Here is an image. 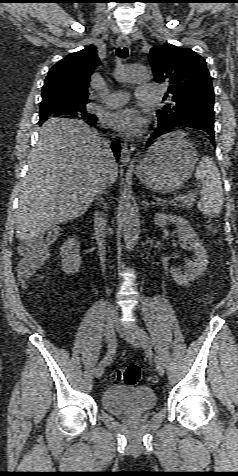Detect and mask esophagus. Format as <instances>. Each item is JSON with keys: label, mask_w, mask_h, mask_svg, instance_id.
<instances>
[{"label": "esophagus", "mask_w": 238, "mask_h": 476, "mask_svg": "<svg viewBox=\"0 0 238 476\" xmlns=\"http://www.w3.org/2000/svg\"><path fill=\"white\" fill-rule=\"evenodd\" d=\"M131 44L130 39L126 35H120L117 39V46L120 48L129 47ZM135 150L134 144L123 143L121 146L120 161L127 165L131 161V155Z\"/></svg>", "instance_id": "34e87169"}]
</instances>
